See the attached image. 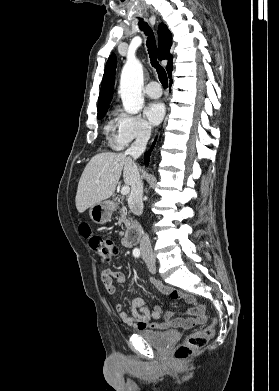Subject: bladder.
I'll return each instance as SVG.
<instances>
[{"label": "bladder", "instance_id": "1", "mask_svg": "<svg viewBox=\"0 0 279 391\" xmlns=\"http://www.w3.org/2000/svg\"><path fill=\"white\" fill-rule=\"evenodd\" d=\"M138 335L151 346L164 349L177 339L179 332L176 330L139 331Z\"/></svg>", "mask_w": 279, "mask_h": 391}]
</instances>
